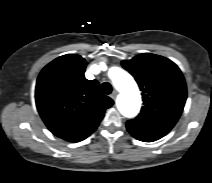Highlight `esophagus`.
I'll list each match as a JSON object with an SVG mask.
<instances>
[{
	"mask_svg": "<svg viewBox=\"0 0 212 183\" xmlns=\"http://www.w3.org/2000/svg\"><path fill=\"white\" fill-rule=\"evenodd\" d=\"M117 91H113L112 92V94L110 95V97L113 99V100H115L116 99V97H117Z\"/></svg>",
	"mask_w": 212,
	"mask_h": 183,
	"instance_id": "obj_1",
	"label": "esophagus"
}]
</instances>
